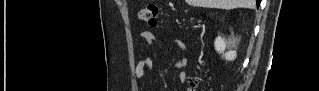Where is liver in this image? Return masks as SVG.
<instances>
[{"mask_svg":"<svg viewBox=\"0 0 319 91\" xmlns=\"http://www.w3.org/2000/svg\"><path fill=\"white\" fill-rule=\"evenodd\" d=\"M191 6L231 10L235 8L254 9L255 0H186Z\"/></svg>","mask_w":319,"mask_h":91,"instance_id":"1","label":"liver"}]
</instances>
